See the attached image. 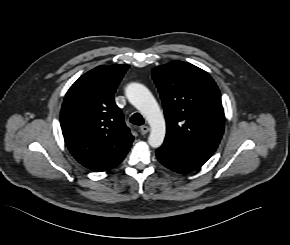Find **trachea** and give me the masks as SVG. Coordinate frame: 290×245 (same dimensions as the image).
Returning <instances> with one entry per match:
<instances>
[{
  "label": "trachea",
  "mask_w": 290,
  "mask_h": 245,
  "mask_svg": "<svg viewBox=\"0 0 290 245\" xmlns=\"http://www.w3.org/2000/svg\"><path fill=\"white\" fill-rule=\"evenodd\" d=\"M130 122L134 125L140 126L144 123V119L140 113H134L130 118Z\"/></svg>",
  "instance_id": "obj_1"
}]
</instances>
